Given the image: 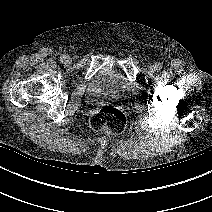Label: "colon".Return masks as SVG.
<instances>
[{"label": "colon", "instance_id": "obj_1", "mask_svg": "<svg viewBox=\"0 0 212 212\" xmlns=\"http://www.w3.org/2000/svg\"><path fill=\"white\" fill-rule=\"evenodd\" d=\"M89 123L97 132L120 133L125 129L127 118L119 109L105 106L91 115Z\"/></svg>", "mask_w": 212, "mask_h": 212}]
</instances>
